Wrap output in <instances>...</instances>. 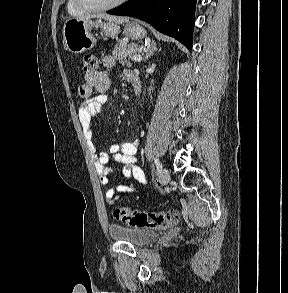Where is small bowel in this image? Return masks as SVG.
Returning a JSON list of instances; mask_svg holds the SVG:
<instances>
[{"label":"small bowel","mask_w":288,"mask_h":293,"mask_svg":"<svg viewBox=\"0 0 288 293\" xmlns=\"http://www.w3.org/2000/svg\"><path fill=\"white\" fill-rule=\"evenodd\" d=\"M104 71H98L91 75H85L84 83L79 87L81 101L78 105V117L81 124L88 148L95 157V168L101 183L105 186L109 183L112 170L109 167L111 159L124 164L123 175L131 180L134 179L142 185L148 181L143 170L136 164L139 152V141L134 140L121 144H112L107 151L97 149L93 141L92 124L107 102L106 92L110 87V71L115 65L114 58L106 55L103 58ZM125 78L130 81L135 75L132 71H125ZM94 93H96L94 95ZM130 194L144 196V192L137 188L135 183L128 181L116 187H109L106 191V199L110 205H116L119 199Z\"/></svg>","instance_id":"1"}]
</instances>
